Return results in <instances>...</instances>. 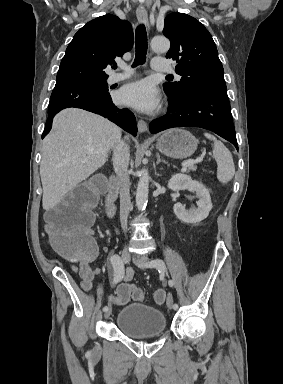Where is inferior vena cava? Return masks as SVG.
Instances as JSON below:
<instances>
[{"instance_id":"inferior-vena-cava-1","label":"inferior vena cava","mask_w":283,"mask_h":384,"mask_svg":"<svg viewBox=\"0 0 283 384\" xmlns=\"http://www.w3.org/2000/svg\"><path fill=\"white\" fill-rule=\"evenodd\" d=\"M130 154L125 142L118 140L113 148V166L119 180L120 192V222L123 230L127 228V218L132 208L130 200V182L128 176Z\"/></svg>"}]
</instances>
